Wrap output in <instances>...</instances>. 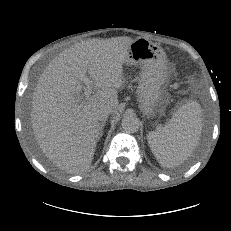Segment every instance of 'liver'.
<instances>
[{
  "label": "liver",
  "instance_id": "obj_1",
  "mask_svg": "<svg viewBox=\"0 0 231 231\" xmlns=\"http://www.w3.org/2000/svg\"><path fill=\"white\" fill-rule=\"evenodd\" d=\"M132 41L124 36L77 43L42 73L32 97L31 124L40 149L60 169L74 174L89 169L102 125L97 113L103 107L118 111ZM81 74L89 76L97 91L79 101Z\"/></svg>",
  "mask_w": 231,
  "mask_h": 231
}]
</instances>
